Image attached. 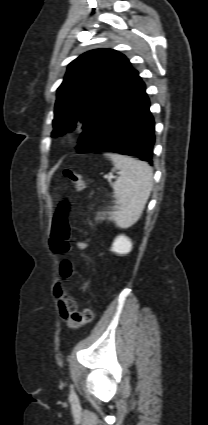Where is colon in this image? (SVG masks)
Masks as SVG:
<instances>
[{
  "label": "colon",
  "instance_id": "1",
  "mask_svg": "<svg viewBox=\"0 0 208 425\" xmlns=\"http://www.w3.org/2000/svg\"><path fill=\"white\" fill-rule=\"evenodd\" d=\"M64 175L72 183L76 190L82 191L85 188V182L82 176L76 171L68 168L64 171ZM71 208V201L67 199L62 200L59 203L53 218L50 235V246L52 250L58 254H66L72 250V247L69 243V215ZM86 259L89 261L93 260L89 256H86ZM74 272L75 269L73 262L68 259L63 260L59 269V278L54 285L53 292L58 299L65 303L69 318L73 321V323L78 325H86L93 320L92 310L88 307H85L82 310H78L74 298L68 294L62 286V281L70 279L74 275Z\"/></svg>",
  "mask_w": 208,
  "mask_h": 425
}]
</instances>
